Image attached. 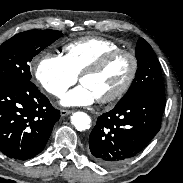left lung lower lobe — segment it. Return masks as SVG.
<instances>
[{
	"mask_svg": "<svg viewBox=\"0 0 183 183\" xmlns=\"http://www.w3.org/2000/svg\"><path fill=\"white\" fill-rule=\"evenodd\" d=\"M164 94H140L118 102L97 119L89 138L91 157L111 167L141 152L159 132Z\"/></svg>",
	"mask_w": 183,
	"mask_h": 183,
	"instance_id": "left-lung-lower-lobe-1",
	"label": "left lung lower lobe"
}]
</instances>
